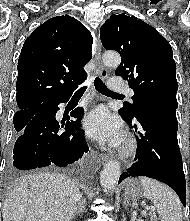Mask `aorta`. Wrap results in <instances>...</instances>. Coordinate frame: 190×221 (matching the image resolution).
I'll use <instances>...</instances> for the list:
<instances>
[{"label": "aorta", "instance_id": "aorta-1", "mask_svg": "<svg viewBox=\"0 0 190 221\" xmlns=\"http://www.w3.org/2000/svg\"><path fill=\"white\" fill-rule=\"evenodd\" d=\"M102 60L104 65L108 67H117L121 62V58L117 53H105ZM120 174L121 170L119 162H107L100 174V183L102 187L109 192H113L119 180Z\"/></svg>", "mask_w": 190, "mask_h": 221}]
</instances>
